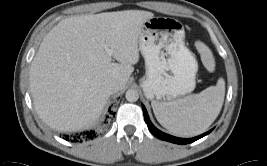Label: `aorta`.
<instances>
[{
    "label": "aorta",
    "mask_w": 267,
    "mask_h": 166,
    "mask_svg": "<svg viewBox=\"0 0 267 166\" xmlns=\"http://www.w3.org/2000/svg\"><path fill=\"white\" fill-rule=\"evenodd\" d=\"M125 97L129 102H136L139 99V93L135 89H128L126 91Z\"/></svg>",
    "instance_id": "762f6f07"
}]
</instances>
